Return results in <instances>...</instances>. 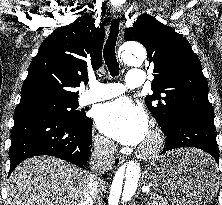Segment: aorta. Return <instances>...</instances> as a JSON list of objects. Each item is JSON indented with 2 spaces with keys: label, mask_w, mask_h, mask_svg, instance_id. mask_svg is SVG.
I'll return each instance as SVG.
<instances>
[{
  "label": "aorta",
  "mask_w": 222,
  "mask_h": 205,
  "mask_svg": "<svg viewBox=\"0 0 222 205\" xmlns=\"http://www.w3.org/2000/svg\"><path fill=\"white\" fill-rule=\"evenodd\" d=\"M121 53L122 61L130 66L141 64L146 52L138 43H127ZM141 178V165L137 161H130L121 166L113 178L108 205H120L128 203L136 194Z\"/></svg>",
  "instance_id": "1"
}]
</instances>
